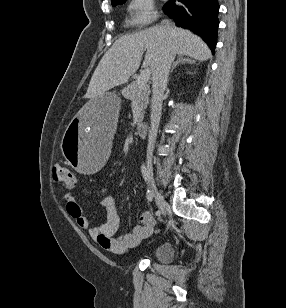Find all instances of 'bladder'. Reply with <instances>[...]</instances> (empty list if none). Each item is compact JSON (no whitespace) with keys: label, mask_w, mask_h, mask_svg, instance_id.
Returning a JSON list of instances; mask_svg holds the SVG:
<instances>
[{"label":"bladder","mask_w":286,"mask_h":308,"mask_svg":"<svg viewBox=\"0 0 286 308\" xmlns=\"http://www.w3.org/2000/svg\"><path fill=\"white\" fill-rule=\"evenodd\" d=\"M150 257L157 262H167L172 258V246L160 243L151 250Z\"/></svg>","instance_id":"1"}]
</instances>
